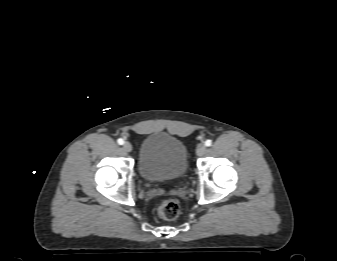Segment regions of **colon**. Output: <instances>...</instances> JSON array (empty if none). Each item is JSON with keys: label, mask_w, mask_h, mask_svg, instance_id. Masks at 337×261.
<instances>
[{"label": "colon", "mask_w": 337, "mask_h": 261, "mask_svg": "<svg viewBox=\"0 0 337 261\" xmlns=\"http://www.w3.org/2000/svg\"><path fill=\"white\" fill-rule=\"evenodd\" d=\"M156 212L164 220H174L180 215V205L174 199H165L157 204Z\"/></svg>", "instance_id": "obj_1"}]
</instances>
